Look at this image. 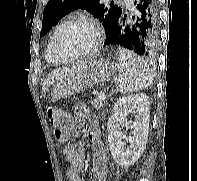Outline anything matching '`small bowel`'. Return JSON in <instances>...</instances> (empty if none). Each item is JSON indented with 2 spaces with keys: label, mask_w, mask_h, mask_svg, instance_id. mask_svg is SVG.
<instances>
[{
  "label": "small bowel",
  "mask_w": 197,
  "mask_h": 181,
  "mask_svg": "<svg viewBox=\"0 0 197 181\" xmlns=\"http://www.w3.org/2000/svg\"><path fill=\"white\" fill-rule=\"evenodd\" d=\"M76 127L86 133L87 139L92 144V181H106V149L101 140L100 128L96 117L84 104H79L74 110ZM63 156L70 164L67 170L68 181H82L81 172L85 165L83 144H68L63 148Z\"/></svg>",
  "instance_id": "small-bowel-1"
}]
</instances>
